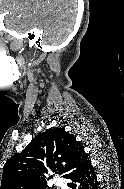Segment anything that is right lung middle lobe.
I'll return each instance as SVG.
<instances>
[{
    "mask_svg": "<svg viewBox=\"0 0 124 189\" xmlns=\"http://www.w3.org/2000/svg\"><path fill=\"white\" fill-rule=\"evenodd\" d=\"M38 189H50V187H47V185H44L42 187H39Z\"/></svg>",
    "mask_w": 124,
    "mask_h": 189,
    "instance_id": "right-lung-middle-lobe-1",
    "label": "right lung middle lobe"
}]
</instances>
